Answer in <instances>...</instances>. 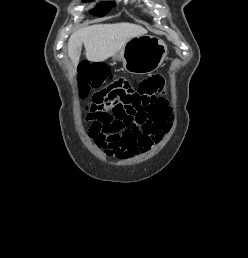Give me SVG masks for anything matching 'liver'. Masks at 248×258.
Segmentation results:
<instances>
[{
  "mask_svg": "<svg viewBox=\"0 0 248 258\" xmlns=\"http://www.w3.org/2000/svg\"><path fill=\"white\" fill-rule=\"evenodd\" d=\"M145 34L147 30L143 27L125 22L87 26L70 36L68 55L76 67L84 44L88 61H105L118 53L130 39Z\"/></svg>",
  "mask_w": 248,
  "mask_h": 258,
  "instance_id": "1",
  "label": "liver"
}]
</instances>
